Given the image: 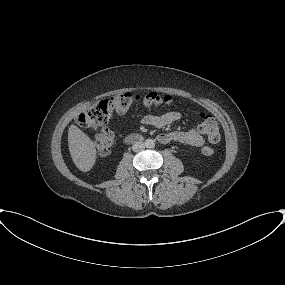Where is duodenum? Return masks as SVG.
Returning a JSON list of instances; mask_svg holds the SVG:
<instances>
[{"label": "duodenum", "mask_w": 285, "mask_h": 285, "mask_svg": "<svg viewBox=\"0 0 285 285\" xmlns=\"http://www.w3.org/2000/svg\"><path fill=\"white\" fill-rule=\"evenodd\" d=\"M140 140H141V136L139 134H135V133L129 134V135L125 136V138H124V142L126 144L136 143Z\"/></svg>", "instance_id": "duodenum-1"}]
</instances>
